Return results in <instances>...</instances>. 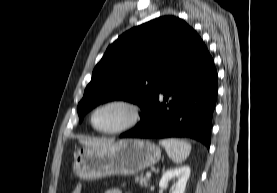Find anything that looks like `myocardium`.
<instances>
[{"instance_id": "myocardium-1", "label": "myocardium", "mask_w": 277, "mask_h": 193, "mask_svg": "<svg viewBox=\"0 0 277 193\" xmlns=\"http://www.w3.org/2000/svg\"><path fill=\"white\" fill-rule=\"evenodd\" d=\"M109 105L123 106L130 111L131 116H130L129 121L119 128H116L113 130H101L95 126V124L93 122V118H94L95 113L99 109H101L105 106H109ZM141 118H142V111H141L140 106L136 102H134L130 99H127V98L118 97V98H110V99L104 100V101L98 103L97 105H95L90 112L89 123H90L91 127L98 133L105 134V135H118V134L125 133V132L130 131L131 129L135 128L140 123Z\"/></svg>"}]
</instances>
